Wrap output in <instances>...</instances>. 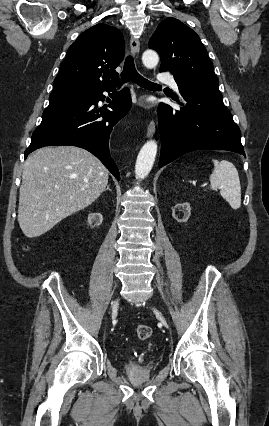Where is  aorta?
I'll return each instance as SVG.
<instances>
[{
  "label": "aorta",
  "mask_w": 269,
  "mask_h": 426,
  "mask_svg": "<svg viewBox=\"0 0 269 426\" xmlns=\"http://www.w3.org/2000/svg\"><path fill=\"white\" fill-rule=\"evenodd\" d=\"M142 62L147 68H154L159 62V56L154 50H146L142 55ZM156 154V141H147L141 148L136 160L135 174L137 178L144 179L150 173Z\"/></svg>",
  "instance_id": "762f6f07"
}]
</instances>
